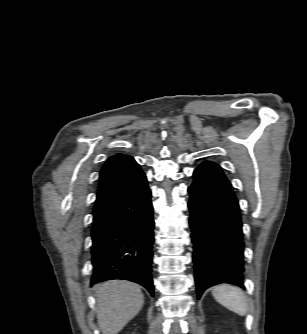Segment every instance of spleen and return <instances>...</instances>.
<instances>
[{
  "instance_id": "spleen-1",
  "label": "spleen",
  "mask_w": 307,
  "mask_h": 334,
  "mask_svg": "<svg viewBox=\"0 0 307 334\" xmlns=\"http://www.w3.org/2000/svg\"><path fill=\"white\" fill-rule=\"evenodd\" d=\"M212 295L217 302L227 309L244 316L247 312V301L243 291L231 285L216 286Z\"/></svg>"
}]
</instances>
